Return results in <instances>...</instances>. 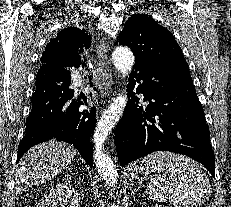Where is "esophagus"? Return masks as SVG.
Here are the masks:
<instances>
[{"label": "esophagus", "mask_w": 231, "mask_h": 207, "mask_svg": "<svg viewBox=\"0 0 231 207\" xmlns=\"http://www.w3.org/2000/svg\"><path fill=\"white\" fill-rule=\"evenodd\" d=\"M99 66L101 67V82L106 89H109L113 84V77L109 69V58L107 55V47L104 42L96 46Z\"/></svg>", "instance_id": "esophagus-1"}]
</instances>
